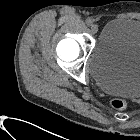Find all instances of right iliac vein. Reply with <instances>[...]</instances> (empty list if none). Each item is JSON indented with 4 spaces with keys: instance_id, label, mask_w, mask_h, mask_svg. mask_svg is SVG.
Instances as JSON below:
<instances>
[{
    "instance_id": "63e3f726",
    "label": "right iliac vein",
    "mask_w": 140,
    "mask_h": 140,
    "mask_svg": "<svg viewBox=\"0 0 140 140\" xmlns=\"http://www.w3.org/2000/svg\"><path fill=\"white\" fill-rule=\"evenodd\" d=\"M98 29H99L98 25L96 24L91 25V31L93 34H96L98 32Z\"/></svg>"
}]
</instances>
